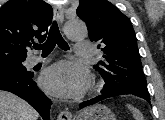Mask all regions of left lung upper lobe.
<instances>
[{
  "instance_id": "5c2ea615",
  "label": "left lung upper lobe",
  "mask_w": 165,
  "mask_h": 120,
  "mask_svg": "<svg viewBox=\"0 0 165 120\" xmlns=\"http://www.w3.org/2000/svg\"><path fill=\"white\" fill-rule=\"evenodd\" d=\"M77 14L104 52V60L93 66L105 81L104 93L150 98L129 18L107 0H79Z\"/></svg>"
}]
</instances>
